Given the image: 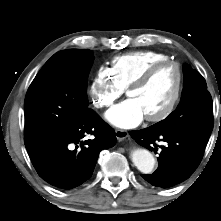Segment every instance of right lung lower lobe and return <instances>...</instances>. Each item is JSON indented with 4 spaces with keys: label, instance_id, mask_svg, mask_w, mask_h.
<instances>
[{
    "label": "right lung lower lobe",
    "instance_id": "98d812e1",
    "mask_svg": "<svg viewBox=\"0 0 221 221\" xmlns=\"http://www.w3.org/2000/svg\"><path fill=\"white\" fill-rule=\"evenodd\" d=\"M87 134L93 139L84 140ZM24 141L39 176L55 187L71 189L91 177L100 151L117 140L114 130L90 110L71 131L34 135Z\"/></svg>",
    "mask_w": 221,
    "mask_h": 221
}]
</instances>
